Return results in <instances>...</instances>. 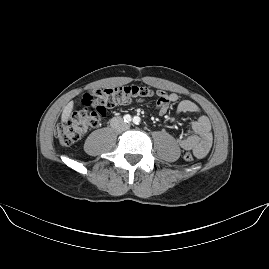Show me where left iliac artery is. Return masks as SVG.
<instances>
[{
	"instance_id": "1",
	"label": "left iliac artery",
	"mask_w": 269,
	"mask_h": 269,
	"mask_svg": "<svg viewBox=\"0 0 269 269\" xmlns=\"http://www.w3.org/2000/svg\"><path fill=\"white\" fill-rule=\"evenodd\" d=\"M140 121H141V119H140V117H138V116H135V117L133 118V123L136 124V125H139V124H140Z\"/></svg>"
}]
</instances>
